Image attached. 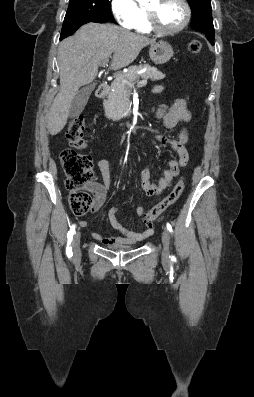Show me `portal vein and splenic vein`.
Masks as SVG:
<instances>
[{
    "label": "portal vein and splenic vein",
    "instance_id": "portal-vein-and-splenic-vein-1",
    "mask_svg": "<svg viewBox=\"0 0 254 397\" xmlns=\"http://www.w3.org/2000/svg\"><path fill=\"white\" fill-rule=\"evenodd\" d=\"M108 62H109V59L102 61L101 66H103V67L107 66ZM146 84H147V80L146 79H143V80L137 82L138 86H144ZM132 86H133V84H132Z\"/></svg>",
    "mask_w": 254,
    "mask_h": 397
}]
</instances>
